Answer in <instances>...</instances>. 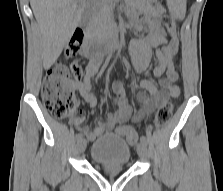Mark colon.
<instances>
[{
    "label": "colon",
    "mask_w": 223,
    "mask_h": 191,
    "mask_svg": "<svg viewBox=\"0 0 223 191\" xmlns=\"http://www.w3.org/2000/svg\"><path fill=\"white\" fill-rule=\"evenodd\" d=\"M164 25L168 33L173 34L176 29L175 21L171 17H164ZM84 41L82 33L75 34L66 46V54L75 55L81 48ZM168 48L164 47V52ZM176 63L173 59L167 60V70H174ZM71 76L75 80H82L84 71L80 64L74 62L69 67L63 63H57L52 66L44 79L42 86V99L44 106L49 110L53 117L57 119H66L71 116L77 108V102L72 90ZM172 104L166 102L157 109L153 118L155 127L164 126L171 118ZM117 133L127 139L135 146L138 142V134L129 127H120Z\"/></svg>",
    "instance_id": "5ec220e1"
}]
</instances>
